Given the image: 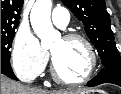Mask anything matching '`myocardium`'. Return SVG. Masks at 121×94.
<instances>
[{"label": "myocardium", "instance_id": "f54148a6", "mask_svg": "<svg viewBox=\"0 0 121 94\" xmlns=\"http://www.w3.org/2000/svg\"><path fill=\"white\" fill-rule=\"evenodd\" d=\"M62 39L65 41H72V40L81 41L85 45L87 52H88L89 66H88L86 74L82 78L76 79V80H67L59 74L55 58L52 54L51 74H52L54 81L65 86H75V85L86 83L93 76L96 70V66H97V55H96V52L92 43L85 36L78 34V33L65 34Z\"/></svg>", "mask_w": 121, "mask_h": 94}]
</instances>
